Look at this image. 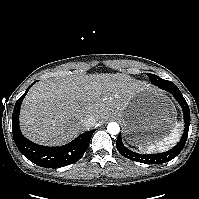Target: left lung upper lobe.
<instances>
[{
  "label": "left lung upper lobe",
  "mask_w": 199,
  "mask_h": 199,
  "mask_svg": "<svg viewBox=\"0 0 199 199\" xmlns=\"http://www.w3.org/2000/svg\"><path fill=\"white\" fill-rule=\"evenodd\" d=\"M148 77L150 78V81L156 86H158L160 84L172 83L170 81L161 79L160 77H158L157 75H154V74H148Z\"/></svg>",
  "instance_id": "obj_1"
}]
</instances>
